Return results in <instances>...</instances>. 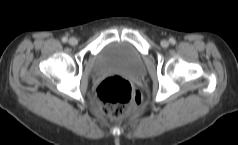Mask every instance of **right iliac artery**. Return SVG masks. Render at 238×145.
I'll use <instances>...</instances> for the list:
<instances>
[{
	"label": "right iliac artery",
	"instance_id": "right-iliac-artery-1",
	"mask_svg": "<svg viewBox=\"0 0 238 145\" xmlns=\"http://www.w3.org/2000/svg\"><path fill=\"white\" fill-rule=\"evenodd\" d=\"M67 40H68L67 37H63V38H62V41H63L64 43H66Z\"/></svg>",
	"mask_w": 238,
	"mask_h": 145
}]
</instances>
